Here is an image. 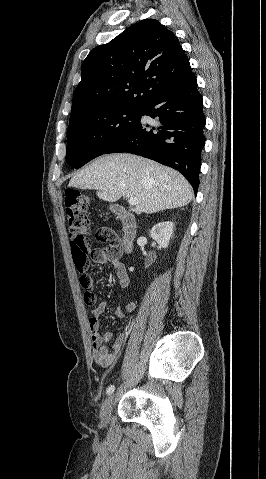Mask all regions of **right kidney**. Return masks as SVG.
Wrapping results in <instances>:
<instances>
[{
    "instance_id": "obj_1",
    "label": "right kidney",
    "mask_w": 266,
    "mask_h": 479,
    "mask_svg": "<svg viewBox=\"0 0 266 479\" xmlns=\"http://www.w3.org/2000/svg\"><path fill=\"white\" fill-rule=\"evenodd\" d=\"M173 229V222H160L152 227L150 236L159 244L160 247L167 248L173 234Z\"/></svg>"
}]
</instances>
